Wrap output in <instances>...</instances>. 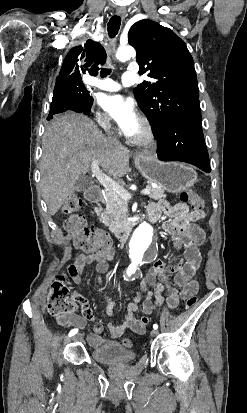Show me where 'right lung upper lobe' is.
Instances as JSON below:
<instances>
[{
	"label": "right lung upper lobe",
	"instance_id": "right-lung-upper-lobe-1",
	"mask_svg": "<svg viewBox=\"0 0 247 413\" xmlns=\"http://www.w3.org/2000/svg\"><path fill=\"white\" fill-rule=\"evenodd\" d=\"M80 59H84L85 64L78 65V56ZM106 62V52L100 43L87 40L84 47L77 46L71 49L66 56L63 66L60 70L56 83L59 82H76L82 81L79 68L82 72L89 71L91 74L98 73V65H103Z\"/></svg>",
	"mask_w": 247,
	"mask_h": 413
}]
</instances>
